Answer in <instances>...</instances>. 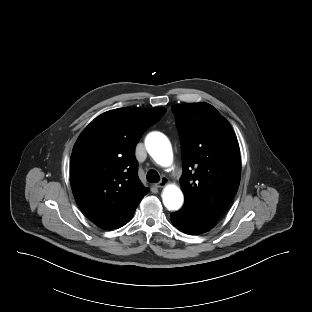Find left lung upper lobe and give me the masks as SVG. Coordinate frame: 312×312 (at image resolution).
Here are the masks:
<instances>
[{
    "label": "left lung upper lobe",
    "mask_w": 312,
    "mask_h": 312,
    "mask_svg": "<svg viewBox=\"0 0 312 312\" xmlns=\"http://www.w3.org/2000/svg\"><path fill=\"white\" fill-rule=\"evenodd\" d=\"M180 134L183 207L217 220L240 183V149L230 123L208 103L172 106Z\"/></svg>",
    "instance_id": "obj_1"
}]
</instances>
